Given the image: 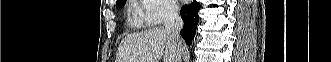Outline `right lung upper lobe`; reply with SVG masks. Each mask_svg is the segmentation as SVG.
Instances as JSON below:
<instances>
[{"label": "right lung upper lobe", "instance_id": "1", "mask_svg": "<svg viewBox=\"0 0 331 62\" xmlns=\"http://www.w3.org/2000/svg\"><path fill=\"white\" fill-rule=\"evenodd\" d=\"M121 1H123V0H117V2H116V3H118V2H121Z\"/></svg>", "mask_w": 331, "mask_h": 62}]
</instances>
